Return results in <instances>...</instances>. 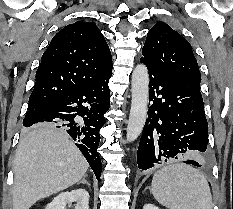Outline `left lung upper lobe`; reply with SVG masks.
<instances>
[{
    "mask_svg": "<svg viewBox=\"0 0 233 209\" xmlns=\"http://www.w3.org/2000/svg\"><path fill=\"white\" fill-rule=\"evenodd\" d=\"M142 55L148 63L185 77L200 87L201 75L191 45L166 23L159 22L150 29Z\"/></svg>",
    "mask_w": 233,
    "mask_h": 209,
    "instance_id": "5c2ea615",
    "label": "left lung upper lobe"
}]
</instances>
